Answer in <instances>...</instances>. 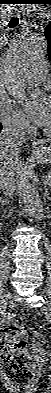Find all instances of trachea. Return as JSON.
I'll list each match as a JSON object with an SVG mask.
<instances>
[{
	"label": "trachea",
	"mask_w": 51,
	"mask_h": 393,
	"mask_svg": "<svg viewBox=\"0 0 51 393\" xmlns=\"http://www.w3.org/2000/svg\"><path fill=\"white\" fill-rule=\"evenodd\" d=\"M19 23V18L18 17H13L10 22H9V27L10 28H15Z\"/></svg>",
	"instance_id": "1"
}]
</instances>
